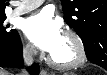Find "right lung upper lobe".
<instances>
[{
  "label": "right lung upper lobe",
  "instance_id": "obj_1",
  "mask_svg": "<svg viewBox=\"0 0 107 75\" xmlns=\"http://www.w3.org/2000/svg\"><path fill=\"white\" fill-rule=\"evenodd\" d=\"M6 0H0V15H5V6L8 3H5Z\"/></svg>",
  "mask_w": 107,
  "mask_h": 75
}]
</instances>
